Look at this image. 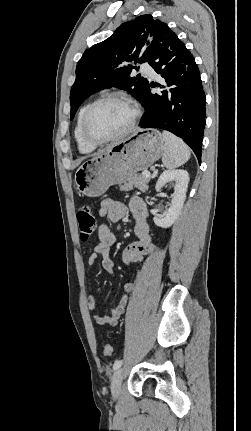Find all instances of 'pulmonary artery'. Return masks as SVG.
I'll list each match as a JSON object with an SVG mask.
<instances>
[{
	"label": "pulmonary artery",
	"mask_w": 251,
	"mask_h": 431,
	"mask_svg": "<svg viewBox=\"0 0 251 431\" xmlns=\"http://www.w3.org/2000/svg\"><path fill=\"white\" fill-rule=\"evenodd\" d=\"M141 71L143 74L149 76V77H155L156 76V72L154 71V69L148 65V64H143L141 66Z\"/></svg>",
	"instance_id": "obj_1"
}]
</instances>
